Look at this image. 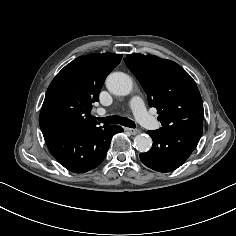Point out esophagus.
I'll list each match as a JSON object with an SVG mask.
<instances>
[{
	"instance_id": "1",
	"label": "esophagus",
	"mask_w": 236,
	"mask_h": 236,
	"mask_svg": "<svg viewBox=\"0 0 236 236\" xmlns=\"http://www.w3.org/2000/svg\"><path fill=\"white\" fill-rule=\"evenodd\" d=\"M124 129H125V131L129 132L131 135H136L139 133V130H137V129L127 128V127H125Z\"/></svg>"
}]
</instances>
